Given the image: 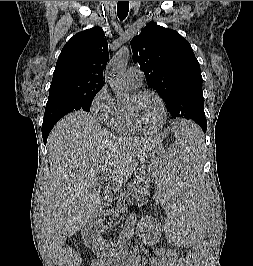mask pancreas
Wrapping results in <instances>:
<instances>
[{
	"instance_id": "pancreas-1",
	"label": "pancreas",
	"mask_w": 253,
	"mask_h": 266,
	"mask_svg": "<svg viewBox=\"0 0 253 266\" xmlns=\"http://www.w3.org/2000/svg\"><path fill=\"white\" fill-rule=\"evenodd\" d=\"M149 188V179L145 176H141L134 180L128 185L127 191L121 193L118 202L116 204L117 208H121L125 203H136L143 202L147 200Z\"/></svg>"
}]
</instances>
